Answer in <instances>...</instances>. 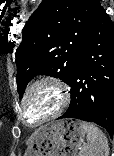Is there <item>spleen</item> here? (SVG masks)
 <instances>
[{"label":"spleen","instance_id":"obj_1","mask_svg":"<svg viewBox=\"0 0 114 156\" xmlns=\"http://www.w3.org/2000/svg\"><path fill=\"white\" fill-rule=\"evenodd\" d=\"M80 126L88 142L80 156H109L108 140L104 133L92 123L81 121Z\"/></svg>","mask_w":114,"mask_h":156}]
</instances>
